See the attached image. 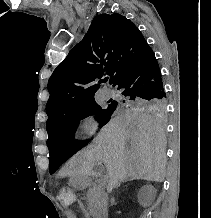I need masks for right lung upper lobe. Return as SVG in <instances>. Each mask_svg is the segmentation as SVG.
<instances>
[{
  "instance_id": "1",
  "label": "right lung upper lobe",
  "mask_w": 211,
  "mask_h": 218,
  "mask_svg": "<svg viewBox=\"0 0 211 218\" xmlns=\"http://www.w3.org/2000/svg\"><path fill=\"white\" fill-rule=\"evenodd\" d=\"M150 50L141 32L126 17L118 13L94 17L83 40L69 52L48 81L47 131L64 115L95 100L99 85L93 81L106 73L113 83Z\"/></svg>"
}]
</instances>
